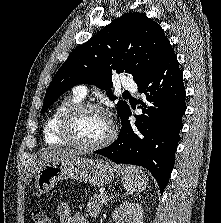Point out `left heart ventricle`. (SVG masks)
Segmentation results:
<instances>
[{
	"label": "left heart ventricle",
	"mask_w": 221,
	"mask_h": 223,
	"mask_svg": "<svg viewBox=\"0 0 221 223\" xmlns=\"http://www.w3.org/2000/svg\"><path fill=\"white\" fill-rule=\"evenodd\" d=\"M110 131L107 117L101 112L88 110L79 114L72 125V136L79 143L96 144Z\"/></svg>",
	"instance_id": "left-heart-ventricle-1"
}]
</instances>
